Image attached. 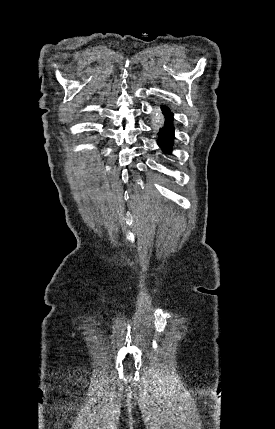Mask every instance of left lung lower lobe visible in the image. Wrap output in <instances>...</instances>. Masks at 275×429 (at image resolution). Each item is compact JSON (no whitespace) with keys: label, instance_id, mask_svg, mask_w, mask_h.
<instances>
[{"label":"left lung lower lobe","instance_id":"obj_1","mask_svg":"<svg viewBox=\"0 0 275 429\" xmlns=\"http://www.w3.org/2000/svg\"><path fill=\"white\" fill-rule=\"evenodd\" d=\"M162 110L165 112L167 116V124L165 128L160 130L159 136L160 139L158 141L159 146L165 153H171L174 139V127L172 125L173 114L167 107H162Z\"/></svg>","mask_w":275,"mask_h":429}]
</instances>
